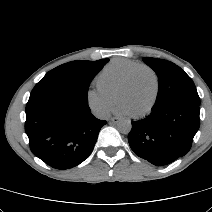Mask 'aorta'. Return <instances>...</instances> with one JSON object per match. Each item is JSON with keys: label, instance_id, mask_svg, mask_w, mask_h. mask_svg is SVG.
Segmentation results:
<instances>
[{"label": "aorta", "instance_id": "1", "mask_svg": "<svg viewBox=\"0 0 212 212\" xmlns=\"http://www.w3.org/2000/svg\"><path fill=\"white\" fill-rule=\"evenodd\" d=\"M132 124L130 120H123L118 124V130L122 134H128L131 131Z\"/></svg>", "mask_w": 212, "mask_h": 212}]
</instances>
